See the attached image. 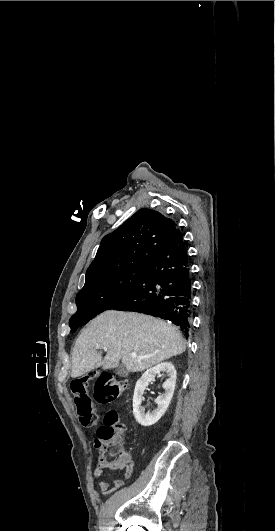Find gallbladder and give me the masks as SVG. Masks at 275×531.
I'll list each match as a JSON object with an SVG mask.
<instances>
[{
  "instance_id": "bac80fb5",
  "label": "gallbladder",
  "mask_w": 275,
  "mask_h": 531,
  "mask_svg": "<svg viewBox=\"0 0 275 531\" xmlns=\"http://www.w3.org/2000/svg\"><path fill=\"white\" fill-rule=\"evenodd\" d=\"M115 373L116 375H119V377H127L128 375V371L123 363H119L118 367L115 369Z\"/></svg>"
}]
</instances>
